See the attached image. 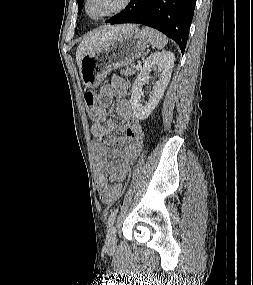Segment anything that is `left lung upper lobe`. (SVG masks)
I'll list each match as a JSON object with an SVG mask.
<instances>
[{"instance_id": "1", "label": "left lung upper lobe", "mask_w": 253, "mask_h": 285, "mask_svg": "<svg viewBox=\"0 0 253 285\" xmlns=\"http://www.w3.org/2000/svg\"><path fill=\"white\" fill-rule=\"evenodd\" d=\"M78 6H79V13L81 12L82 5H83V0H77Z\"/></svg>"}]
</instances>
